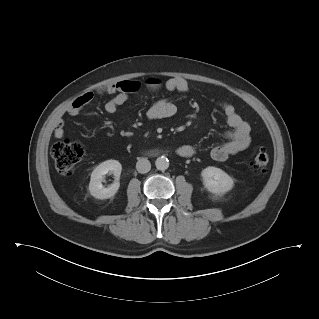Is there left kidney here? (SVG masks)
<instances>
[{"mask_svg": "<svg viewBox=\"0 0 319 319\" xmlns=\"http://www.w3.org/2000/svg\"><path fill=\"white\" fill-rule=\"evenodd\" d=\"M201 175L204 186L213 194H225L233 188V179L220 168L209 166Z\"/></svg>", "mask_w": 319, "mask_h": 319, "instance_id": "obj_1", "label": "left kidney"}]
</instances>
